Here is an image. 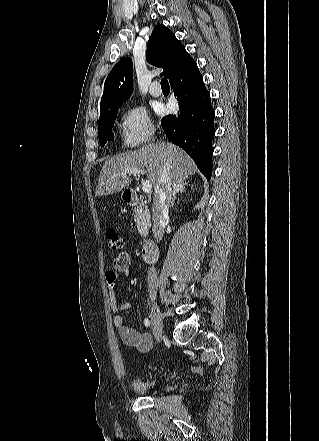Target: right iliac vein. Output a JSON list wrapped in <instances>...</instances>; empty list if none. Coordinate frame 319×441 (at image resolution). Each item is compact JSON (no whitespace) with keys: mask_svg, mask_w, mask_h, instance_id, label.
I'll return each instance as SVG.
<instances>
[{"mask_svg":"<svg viewBox=\"0 0 319 441\" xmlns=\"http://www.w3.org/2000/svg\"><path fill=\"white\" fill-rule=\"evenodd\" d=\"M151 321L154 336L157 341H160L163 335V317L155 304L151 306Z\"/></svg>","mask_w":319,"mask_h":441,"instance_id":"right-iliac-vein-1","label":"right iliac vein"}]
</instances>
